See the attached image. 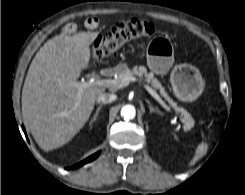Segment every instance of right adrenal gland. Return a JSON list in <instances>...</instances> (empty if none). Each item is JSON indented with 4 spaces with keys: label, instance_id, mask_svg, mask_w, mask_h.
Segmentation results:
<instances>
[{
    "label": "right adrenal gland",
    "instance_id": "2a0ac1e0",
    "mask_svg": "<svg viewBox=\"0 0 245 195\" xmlns=\"http://www.w3.org/2000/svg\"><path fill=\"white\" fill-rule=\"evenodd\" d=\"M101 108H102V105H100V106L97 108V110H96V112H95V114H94L93 119L90 121V125L93 124V122L97 120L98 113H99V111L101 110Z\"/></svg>",
    "mask_w": 245,
    "mask_h": 195
}]
</instances>
